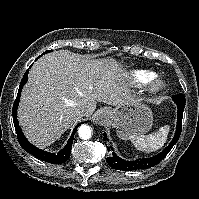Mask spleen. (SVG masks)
<instances>
[{
  "label": "spleen",
  "instance_id": "1",
  "mask_svg": "<svg viewBox=\"0 0 199 199\" xmlns=\"http://www.w3.org/2000/svg\"><path fill=\"white\" fill-rule=\"evenodd\" d=\"M170 127L162 126L157 132L149 135H140L131 137V142L140 151L151 152L160 149L167 140Z\"/></svg>",
  "mask_w": 199,
  "mask_h": 199
}]
</instances>
